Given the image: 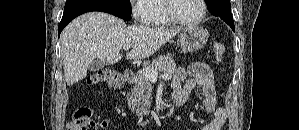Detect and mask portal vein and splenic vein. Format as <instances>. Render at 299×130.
Returning <instances> with one entry per match:
<instances>
[{"instance_id":"obj_1","label":"portal vein and splenic vein","mask_w":299,"mask_h":130,"mask_svg":"<svg viewBox=\"0 0 299 130\" xmlns=\"http://www.w3.org/2000/svg\"><path fill=\"white\" fill-rule=\"evenodd\" d=\"M131 48L130 45H126L123 47L124 50H129ZM146 78H148L151 82H156L158 79V73L156 71H153L151 69L145 68L142 70ZM159 78H162L164 80H170L172 78L171 74H163Z\"/></svg>"}]
</instances>
